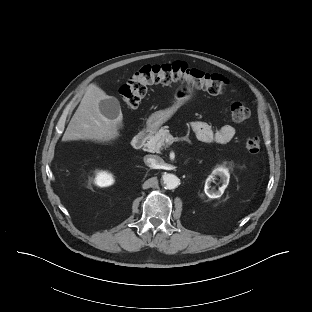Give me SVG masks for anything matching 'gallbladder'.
<instances>
[{
  "mask_svg": "<svg viewBox=\"0 0 312 312\" xmlns=\"http://www.w3.org/2000/svg\"><path fill=\"white\" fill-rule=\"evenodd\" d=\"M99 109L105 117L117 122V128H122V113L118 99L109 97L108 99L101 100Z\"/></svg>",
  "mask_w": 312,
  "mask_h": 312,
  "instance_id": "obj_1",
  "label": "gallbladder"
}]
</instances>
